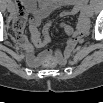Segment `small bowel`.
Masks as SVG:
<instances>
[{"label":"small bowel","instance_id":"small-bowel-1","mask_svg":"<svg viewBox=\"0 0 103 103\" xmlns=\"http://www.w3.org/2000/svg\"><path fill=\"white\" fill-rule=\"evenodd\" d=\"M7 7L10 11H13L11 3ZM62 7H68V9L61 11L59 17L77 16L78 21L76 25L62 23V29L69 37L63 49L43 50L50 41L49 29L51 24L48 23L42 30L40 25L43 19ZM14 8H16L13 12L12 28L14 41L24 51L26 63L31 67L39 66L47 58H52L55 62L64 64L71 58L89 31V6L85 2L44 0L37 3L34 0H28L16 2ZM28 14H30L28 29L31 43L26 38L24 25L16 24L18 18L25 17L26 21ZM39 50L42 51L38 52Z\"/></svg>","mask_w":103,"mask_h":103}]
</instances>
